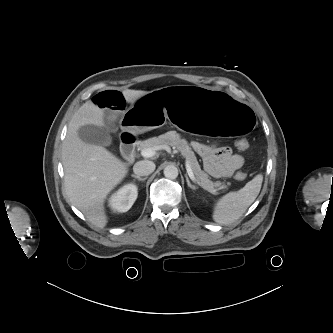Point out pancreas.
<instances>
[{
	"mask_svg": "<svg viewBox=\"0 0 333 333\" xmlns=\"http://www.w3.org/2000/svg\"><path fill=\"white\" fill-rule=\"evenodd\" d=\"M165 146H171L177 149L189 162L199 184L207 191L218 194V190L227 188V185L221 182L213 183L209 175L201 170L197 158L185 139H181L176 131H169L158 137L149 138L140 144V149L157 148L162 149Z\"/></svg>",
	"mask_w": 333,
	"mask_h": 333,
	"instance_id": "pancreas-1",
	"label": "pancreas"
}]
</instances>
